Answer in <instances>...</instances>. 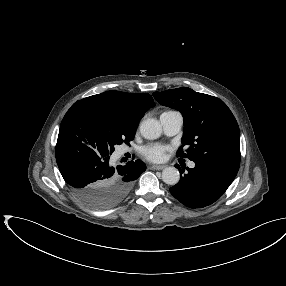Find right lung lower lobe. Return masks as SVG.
<instances>
[{
  "label": "right lung lower lobe",
  "instance_id": "98d812e1",
  "mask_svg": "<svg viewBox=\"0 0 286 286\" xmlns=\"http://www.w3.org/2000/svg\"><path fill=\"white\" fill-rule=\"evenodd\" d=\"M110 155L71 126L61 123L55 148L59 170L75 196L96 209H107L121 202L129 194L133 181L146 170L140 160L113 167Z\"/></svg>",
  "mask_w": 286,
  "mask_h": 286
}]
</instances>
